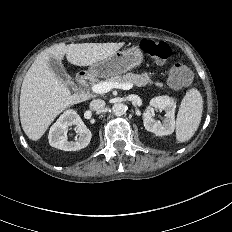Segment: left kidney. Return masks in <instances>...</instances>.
<instances>
[{
	"label": "left kidney",
	"instance_id": "1",
	"mask_svg": "<svg viewBox=\"0 0 232 232\" xmlns=\"http://www.w3.org/2000/svg\"><path fill=\"white\" fill-rule=\"evenodd\" d=\"M162 109L166 112L163 123H158L151 115L150 108ZM176 102L169 96H158L150 100V106L143 113V124L147 131L157 136L170 135L175 129Z\"/></svg>",
	"mask_w": 232,
	"mask_h": 232
}]
</instances>
